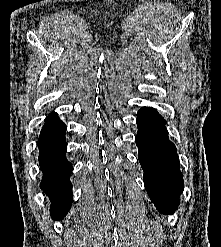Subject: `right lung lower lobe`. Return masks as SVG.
<instances>
[{"label": "right lung lower lobe", "mask_w": 221, "mask_h": 247, "mask_svg": "<svg viewBox=\"0 0 221 247\" xmlns=\"http://www.w3.org/2000/svg\"><path fill=\"white\" fill-rule=\"evenodd\" d=\"M65 133L66 125L52 112L38 139L39 165L43 172L40 187L50 198V213L54 220L64 218L73 201L69 180L73 167L65 157Z\"/></svg>", "instance_id": "obj_1"}]
</instances>
